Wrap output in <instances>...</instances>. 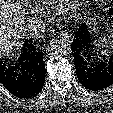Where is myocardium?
<instances>
[{"mask_svg": "<svg viewBox=\"0 0 113 113\" xmlns=\"http://www.w3.org/2000/svg\"><path fill=\"white\" fill-rule=\"evenodd\" d=\"M83 2V0H63L60 2L61 13L68 18L75 17Z\"/></svg>", "mask_w": 113, "mask_h": 113, "instance_id": "obj_1", "label": "myocardium"}]
</instances>
